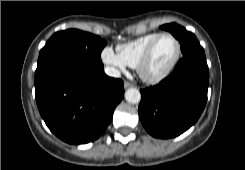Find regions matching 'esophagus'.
<instances>
[{
	"label": "esophagus",
	"mask_w": 245,
	"mask_h": 170,
	"mask_svg": "<svg viewBox=\"0 0 245 170\" xmlns=\"http://www.w3.org/2000/svg\"><path fill=\"white\" fill-rule=\"evenodd\" d=\"M131 86V83H129L128 81H125L124 82V87L125 88H128V87H130Z\"/></svg>",
	"instance_id": "esophagus-1"
}]
</instances>
